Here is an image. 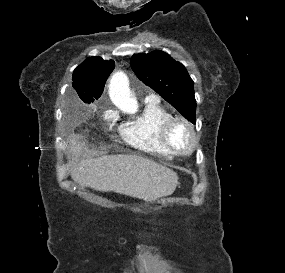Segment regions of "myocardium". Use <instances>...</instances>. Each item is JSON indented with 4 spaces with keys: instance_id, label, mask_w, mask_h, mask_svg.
Here are the masks:
<instances>
[{
    "instance_id": "1",
    "label": "myocardium",
    "mask_w": 285,
    "mask_h": 273,
    "mask_svg": "<svg viewBox=\"0 0 285 273\" xmlns=\"http://www.w3.org/2000/svg\"><path fill=\"white\" fill-rule=\"evenodd\" d=\"M178 124L183 125L186 128L190 136V143L185 148L177 147L171 140V132L173 128ZM161 134H162V139L165 145L175 154L189 155V154H192L197 148L198 137H197L196 131L194 129L193 124L185 117L171 116L164 123Z\"/></svg>"
}]
</instances>
